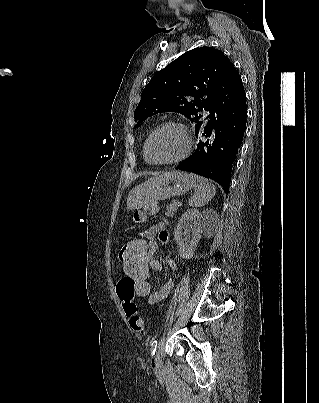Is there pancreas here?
I'll return each instance as SVG.
<instances>
[{
	"label": "pancreas",
	"instance_id": "obj_1",
	"mask_svg": "<svg viewBox=\"0 0 319 403\" xmlns=\"http://www.w3.org/2000/svg\"><path fill=\"white\" fill-rule=\"evenodd\" d=\"M178 208H179V206L176 205V203H175V201H174L172 204L167 205V207H166V210H167V211L165 212V215H166L167 217H172L173 214L178 210Z\"/></svg>",
	"mask_w": 319,
	"mask_h": 403
}]
</instances>
